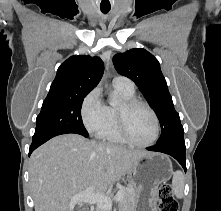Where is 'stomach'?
Returning a JSON list of instances; mask_svg holds the SVG:
<instances>
[{"label": "stomach", "mask_w": 221, "mask_h": 211, "mask_svg": "<svg viewBox=\"0 0 221 211\" xmlns=\"http://www.w3.org/2000/svg\"><path fill=\"white\" fill-rule=\"evenodd\" d=\"M172 173L170 160L162 154L147 152L132 163L128 176L137 193L135 211H144L148 198Z\"/></svg>", "instance_id": "1"}]
</instances>
